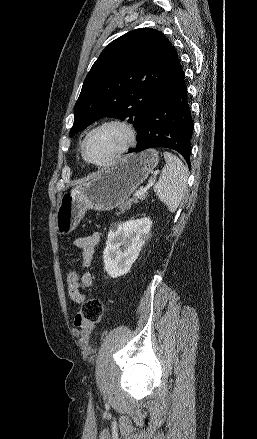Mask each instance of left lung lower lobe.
<instances>
[{
  "label": "left lung lower lobe",
  "instance_id": "1",
  "mask_svg": "<svg viewBox=\"0 0 257 439\" xmlns=\"http://www.w3.org/2000/svg\"><path fill=\"white\" fill-rule=\"evenodd\" d=\"M192 133L193 120L187 99V87L177 58L141 122L136 148L128 153L155 147L169 148L179 152L190 167Z\"/></svg>",
  "mask_w": 257,
  "mask_h": 439
}]
</instances>
